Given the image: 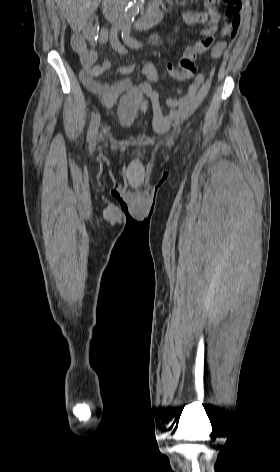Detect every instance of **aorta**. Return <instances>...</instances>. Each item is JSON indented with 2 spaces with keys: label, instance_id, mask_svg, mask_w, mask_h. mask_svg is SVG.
I'll return each mask as SVG.
<instances>
[{
  "label": "aorta",
  "instance_id": "762f6f07",
  "mask_svg": "<svg viewBox=\"0 0 280 472\" xmlns=\"http://www.w3.org/2000/svg\"><path fill=\"white\" fill-rule=\"evenodd\" d=\"M144 0H132L127 7L125 8L124 12L122 13L119 19V25L122 29L130 28L134 17L138 13L139 9L142 7Z\"/></svg>",
  "mask_w": 280,
  "mask_h": 472
}]
</instances>
